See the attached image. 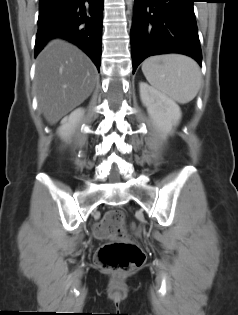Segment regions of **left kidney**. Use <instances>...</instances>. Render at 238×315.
<instances>
[{"instance_id":"obj_1","label":"left kidney","mask_w":238,"mask_h":315,"mask_svg":"<svg viewBox=\"0 0 238 315\" xmlns=\"http://www.w3.org/2000/svg\"><path fill=\"white\" fill-rule=\"evenodd\" d=\"M139 88L141 101L155 126L163 134H171L181 119L180 107L147 83L141 82Z\"/></svg>"}]
</instances>
